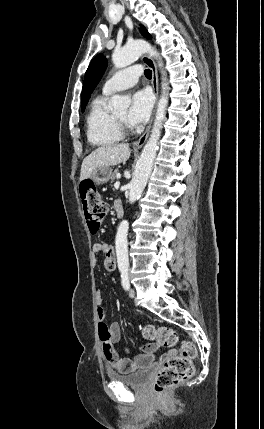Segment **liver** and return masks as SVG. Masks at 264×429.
<instances>
[{"instance_id":"obj_1","label":"liver","mask_w":264,"mask_h":429,"mask_svg":"<svg viewBox=\"0 0 264 429\" xmlns=\"http://www.w3.org/2000/svg\"><path fill=\"white\" fill-rule=\"evenodd\" d=\"M131 150L128 144H113L94 150L82 162L80 181L89 178L98 168L112 166L129 159Z\"/></svg>"}]
</instances>
